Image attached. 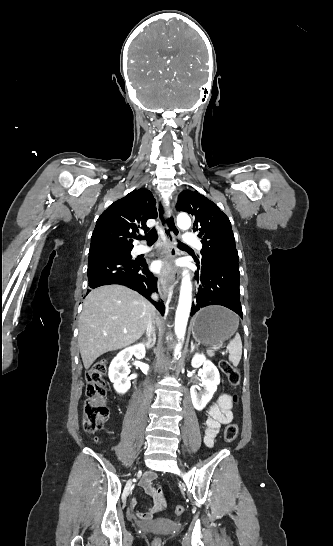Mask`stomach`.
Listing matches in <instances>:
<instances>
[{"mask_svg":"<svg viewBox=\"0 0 333 546\" xmlns=\"http://www.w3.org/2000/svg\"><path fill=\"white\" fill-rule=\"evenodd\" d=\"M234 313L220 306L199 311L192 320L193 338L199 344L215 347L229 339L237 330Z\"/></svg>","mask_w":333,"mask_h":546,"instance_id":"stomach-1","label":"stomach"}]
</instances>
